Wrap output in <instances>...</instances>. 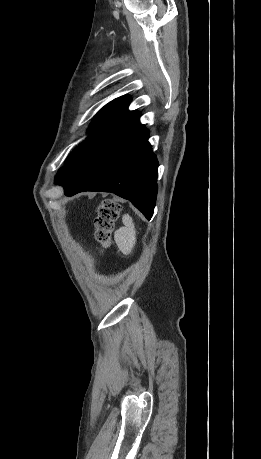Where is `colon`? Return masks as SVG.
Masks as SVG:
<instances>
[{
	"label": "colon",
	"mask_w": 261,
	"mask_h": 459,
	"mask_svg": "<svg viewBox=\"0 0 261 459\" xmlns=\"http://www.w3.org/2000/svg\"><path fill=\"white\" fill-rule=\"evenodd\" d=\"M120 215V205L113 199H104L95 219V238L102 252L110 246L111 234Z\"/></svg>",
	"instance_id": "obj_1"
}]
</instances>
